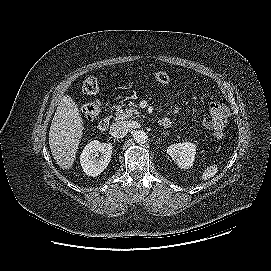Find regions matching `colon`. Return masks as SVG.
I'll return each mask as SVG.
<instances>
[{
    "label": "colon",
    "instance_id": "1",
    "mask_svg": "<svg viewBox=\"0 0 271 271\" xmlns=\"http://www.w3.org/2000/svg\"><path fill=\"white\" fill-rule=\"evenodd\" d=\"M154 79L160 84H169L171 82V77L168 73L160 71L155 73ZM82 90L88 95H94L99 91V82L98 79L94 76L86 78L82 85ZM82 113L84 117L92 122L98 118L101 113V103L99 100H93L82 106ZM216 137H221L222 133L216 131Z\"/></svg>",
    "mask_w": 271,
    "mask_h": 271
}]
</instances>
